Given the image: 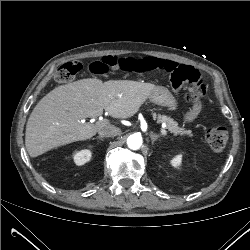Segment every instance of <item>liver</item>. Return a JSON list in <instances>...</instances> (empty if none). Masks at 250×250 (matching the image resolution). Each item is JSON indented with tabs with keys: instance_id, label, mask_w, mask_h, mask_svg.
<instances>
[{
	"instance_id": "1",
	"label": "liver",
	"mask_w": 250,
	"mask_h": 250,
	"mask_svg": "<svg viewBox=\"0 0 250 250\" xmlns=\"http://www.w3.org/2000/svg\"><path fill=\"white\" fill-rule=\"evenodd\" d=\"M156 86L130 80L82 79L57 87L34 107L26 125L25 146L31 157L55 147L87 140L107 124L82 123L105 110L114 118L134 116Z\"/></svg>"
}]
</instances>
